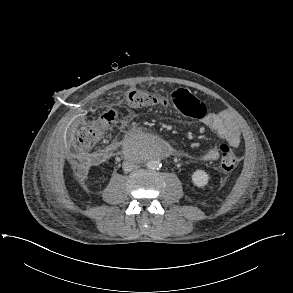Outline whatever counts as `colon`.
Instances as JSON below:
<instances>
[{"instance_id": "colon-1", "label": "colon", "mask_w": 293, "mask_h": 293, "mask_svg": "<svg viewBox=\"0 0 293 293\" xmlns=\"http://www.w3.org/2000/svg\"><path fill=\"white\" fill-rule=\"evenodd\" d=\"M171 100L175 107L186 116H195V108L198 105V99L189 91L178 89L171 95ZM157 100L147 91L135 89L130 91L125 100V108L132 112L139 109L156 105ZM118 113L114 110L107 111L98 120L90 122L79 129L77 134L78 150L83 151L94 146L102 137L104 132L109 129L116 121ZM220 165L225 171L233 170L238 159L235 153L227 144L219 145Z\"/></svg>"}]
</instances>
